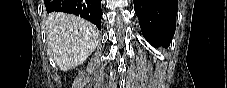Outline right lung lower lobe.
<instances>
[{"label":"right lung lower lobe","mask_w":227,"mask_h":88,"mask_svg":"<svg viewBox=\"0 0 227 88\" xmlns=\"http://www.w3.org/2000/svg\"><path fill=\"white\" fill-rule=\"evenodd\" d=\"M47 12H66L76 14L101 30V0H44Z\"/></svg>","instance_id":"98d812e1"}]
</instances>
